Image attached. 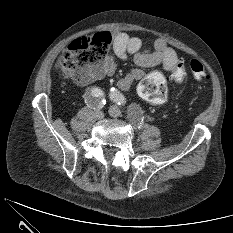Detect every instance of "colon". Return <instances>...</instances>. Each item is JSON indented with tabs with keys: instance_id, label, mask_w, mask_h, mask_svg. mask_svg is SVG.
I'll list each match as a JSON object with an SVG mask.
<instances>
[{
	"instance_id": "colon-1",
	"label": "colon",
	"mask_w": 233,
	"mask_h": 233,
	"mask_svg": "<svg viewBox=\"0 0 233 233\" xmlns=\"http://www.w3.org/2000/svg\"><path fill=\"white\" fill-rule=\"evenodd\" d=\"M110 44L111 35L109 33L77 38L63 50L56 67L65 77L77 82H85L101 73V64L107 55ZM189 68L197 81L206 82L209 80V73L199 60H191ZM169 74L174 81H183L186 77L184 61L179 59ZM138 92L143 99L151 104H163L167 98L164 75L159 71L151 72L140 82Z\"/></svg>"
}]
</instances>
